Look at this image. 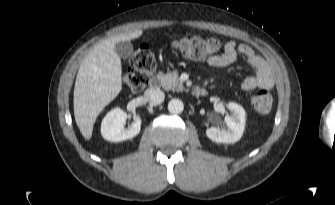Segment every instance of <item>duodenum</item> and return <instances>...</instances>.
Masks as SVG:
<instances>
[{
  "instance_id": "duodenum-1",
  "label": "duodenum",
  "mask_w": 335,
  "mask_h": 205,
  "mask_svg": "<svg viewBox=\"0 0 335 205\" xmlns=\"http://www.w3.org/2000/svg\"><path fill=\"white\" fill-rule=\"evenodd\" d=\"M158 84V79L156 77L152 78L151 85L156 86ZM197 95H206L207 91L204 88H197L195 90Z\"/></svg>"
}]
</instances>
